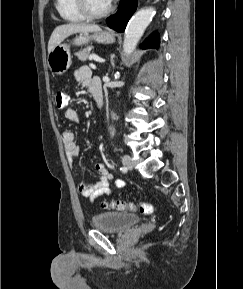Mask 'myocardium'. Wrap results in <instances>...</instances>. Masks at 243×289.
Returning <instances> with one entry per match:
<instances>
[{"mask_svg": "<svg viewBox=\"0 0 243 289\" xmlns=\"http://www.w3.org/2000/svg\"><path fill=\"white\" fill-rule=\"evenodd\" d=\"M80 13L88 19H99L107 16L112 11V4L109 3L108 7L101 12H94L88 5V0H75Z\"/></svg>", "mask_w": 243, "mask_h": 289, "instance_id": "obj_1", "label": "myocardium"}]
</instances>
